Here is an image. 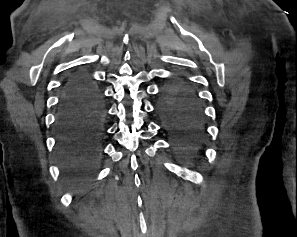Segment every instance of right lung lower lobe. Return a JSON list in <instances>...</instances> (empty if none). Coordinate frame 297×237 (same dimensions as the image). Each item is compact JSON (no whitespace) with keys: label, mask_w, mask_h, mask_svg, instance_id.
I'll return each instance as SVG.
<instances>
[{"label":"right lung lower lobe","mask_w":297,"mask_h":237,"mask_svg":"<svg viewBox=\"0 0 297 237\" xmlns=\"http://www.w3.org/2000/svg\"><path fill=\"white\" fill-rule=\"evenodd\" d=\"M101 98L95 85L82 75L66 84L57 118V153L63 170L87 174L100 156Z\"/></svg>","instance_id":"obj_1"}]
</instances>
